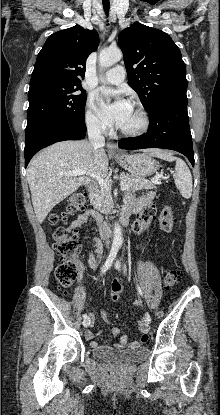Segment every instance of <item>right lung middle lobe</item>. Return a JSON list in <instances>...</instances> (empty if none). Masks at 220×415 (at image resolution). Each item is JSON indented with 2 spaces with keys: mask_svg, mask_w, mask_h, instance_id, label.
Masks as SVG:
<instances>
[{
  "mask_svg": "<svg viewBox=\"0 0 220 415\" xmlns=\"http://www.w3.org/2000/svg\"><path fill=\"white\" fill-rule=\"evenodd\" d=\"M28 96L26 137L45 126H73L85 122L87 95L79 83L52 78L32 80Z\"/></svg>",
  "mask_w": 220,
  "mask_h": 415,
  "instance_id": "dd1d6c3e",
  "label": "right lung middle lobe"
}]
</instances>
